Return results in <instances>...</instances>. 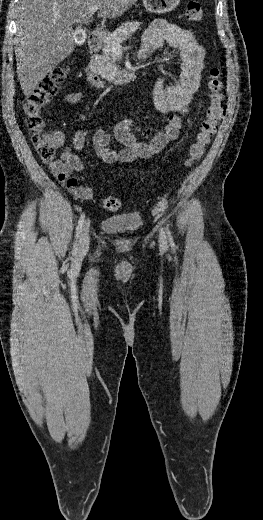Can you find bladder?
Here are the masks:
<instances>
[{
	"mask_svg": "<svg viewBox=\"0 0 263 520\" xmlns=\"http://www.w3.org/2000/svg\"><path fill=\"white\" fill-rule=\"evenodd\" d=\"M142 225V217L136 212L113 215L101 221V229L113 234H131L138 231Z\"/></svg>",
	"mask_w": 263,
	"mask_h": 520,
	"instance_id": "1",
	"label": "bladder"
}]
</instances>
